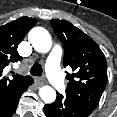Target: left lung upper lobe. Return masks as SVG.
<instances>
[{
    "mask_svg": "<svg viewBox=\"0 0 117 117\" xmlns=\"http://www.w3.org/2000/svg\"><path fill=\"white\" fill-rule=\"evenodd\" d=\"M65 50L63 65L74 73L67 75L66 96L92 112L107 83V62L97 43L65 20H51Z\"/></svg>",
    "mask_w": 117,
    "mask_h": 117,
    "instance_id": "1",
    "label": "left lung upper lobe"
}]
</instances>
